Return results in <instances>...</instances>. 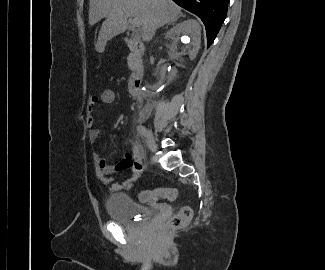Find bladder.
Masks as SVG:
<instances>
[{
    "label": "bladder",
    "mask_w": 325,
    "mask_h": 270,
    "mask_svg": "<svg viewBox=\"0 0 325 270\" xmlns=\"http://www.w3.org/2000/svg\"><path fill=\"white\" fill-rule=\"evenodd\" d=\"M106 210L111 220L134 228L150 215V210L132 200L127 194H112L107 198Z\"/></svg>",
    "instance_id": "bladder-1"
}]
</instances>
